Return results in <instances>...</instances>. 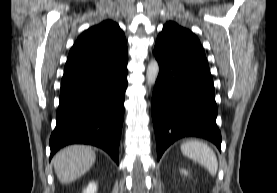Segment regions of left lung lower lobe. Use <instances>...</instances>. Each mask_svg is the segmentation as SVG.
<instances>
[{
    "mask_svg": "<svg viewBox=\"0 0 277 193\" xmlns=\"http://www.w3.org/2000/svg\"><path fill=\"white\" fill-rule=\"evenodd\" d=\"M154 54L159 63L152 94L157 159L174 141L187 136L208 139L220 149L215 90L206 57L179 52L160 39Z\"/></svg>",
    "mask_w": 277,
    "mask_h": 193,
    "instance_id": "0a47b994",
    "label": "left lung lower lobe"
}]
</instances>
